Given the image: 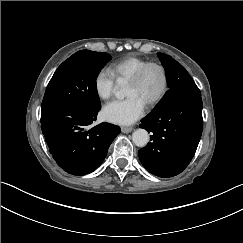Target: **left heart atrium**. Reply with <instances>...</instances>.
I'll list each match as a JSON object with an SVG mask.
<instances>
[{
  "mask_svg": "<svg viewBox=\"0 0 243 243\" xmlns=\"http://www.w3.org/2000/svg\"><path fill=\"white\" fill-rule=\"evenodd\" d=\"M146 104L137 95H131L123 100H112L102 108V115L108 122L114 124H131L140 118Z\"/></svg>",
  "mask_w": 243,
  "mask_h": 243,
  "instance_id": "left-heart-atrium-1",
  "label": "left heart atrium"
}]
</instances>
